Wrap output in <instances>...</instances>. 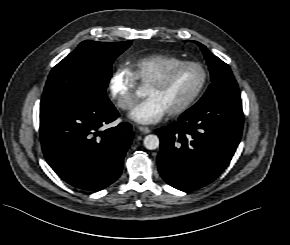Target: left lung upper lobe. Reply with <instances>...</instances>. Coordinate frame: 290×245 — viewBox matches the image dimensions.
Listing matches in <instances>:
<instances>
[{"instance_id":"1","label":"left lung upper lobe","mask_w":290,"mask_h":245,"mask_svg":"<svg viewBox=\"0 0 290 245\" xmlns=\"http://www.w3.org/2000/svg\"><path fill=\"white\" fill-rule=\"evenodd\" d=\"M196 43L202 50L209 66L211 81L208 90L196 103L215 100H241L238 85L233 77L230 67L221 59L213 55L204 45Z\"/></svg>"}]
</instances>
